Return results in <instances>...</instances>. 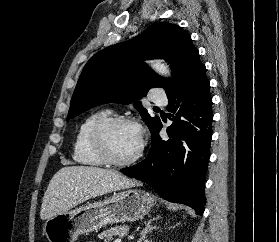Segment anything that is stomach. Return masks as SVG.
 Instances as JSON below:
<instances>
[{"instance_id": "obj_1", "label": "stomach", "mask_w": 279, "mask_h": 242, "mask_svg": "<svg viewBox=\"0 0 279 242\" xmlns=\"http://www.w3.org/2000/svg\"><path fill=\"white\" fill-rule=\"evenodd\" d=\"M154 203V197L142 190L115 192L103 201L48 218L43 232L49 242H75L79 235L98 231L107 224L136 221L148 214Z\"/></svg>"}]
</instances>
